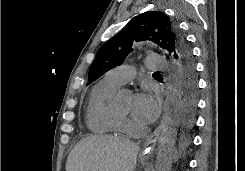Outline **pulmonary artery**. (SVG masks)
<instances>
[{"label":"pulmonary artery","mask_w":245,"mask_h":171,"mask_svg":"<svg viewBox=\"0 0 245 171\" xmlns=\"http://www.w3.org/2000/svg\"><path fill=\"white\" fill-rule=\"evenodd\" d=\"M168 67L167 60L159 55H151L146 58V68L148 71L162 70ZM134 76V69L129 65H121L108 71L104 80L115 87H120Z\"/></svg>","instance_id":"e3ab8cb5"}]
</instances>
